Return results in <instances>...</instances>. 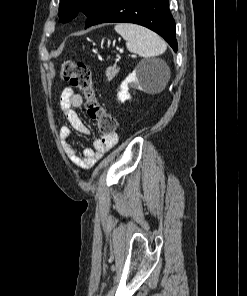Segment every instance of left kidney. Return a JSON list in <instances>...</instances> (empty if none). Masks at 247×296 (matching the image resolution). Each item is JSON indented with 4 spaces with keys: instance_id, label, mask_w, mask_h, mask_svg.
Instances as JSON below:
<instances>
[{
    "instance_id": "5707ae66",
    "label": "left kidney",
    "mask_w": 247,
    "mask_h": 296,
    "mask_svg": "<svg viewBox=\"0 0 247 296\" xmlns=\"http://www.w3.org/2000/svg\"><path fill=\"white\" fill-rule=\"evenodd\" d=\"M152 76L143 67L138 66L136 69L121 83L120 91L118 92V100L124 103L131 99L129 87L139 90H145Z\"/></svg>"
}]
</instances>
